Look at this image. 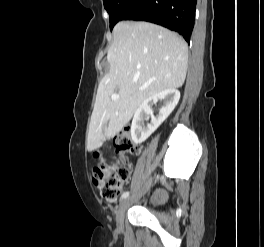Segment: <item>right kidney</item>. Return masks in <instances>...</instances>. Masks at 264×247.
<instances>
[{"mask_svg": "<svg viewBox=\"0 0 264 247\" xmlns=\"http://www.w3.org/2000/svg\"><path fill=\"white\" fill-rule=\"evenodd\" d=\"M180 99L177 89H165L146 99L136 110L131 124V138L134 143L144 142L171 114ZM158 101L163 102L157 116L153 115L152 105ZM147 116H151V123L144 126Z\"/></svg>", "mask_w": 264, "mask_h": 247, "instance_id": "ca27d5eb", "label": "right kidney"}]
</instances>
